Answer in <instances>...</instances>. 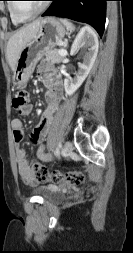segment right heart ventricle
Masks as SVG:
<instances>
[{
  "label": "right heart ventricle",
  "mask_w": 133,
  "mask_h": 253,
  "mask_svg": "<svg viewBox=\"0 0 133 253\" xmlns=\"http://www.w3.org/2000/svg\"><path fill=\"white\" fill-rule=\"evenodd\" d=\"M7 10L9 12V16H10V19H11V22L14 24V25H19L21 22H18L12 15L11 11H10V7H9V3L7 4Z\"/></svg>",
  "instance_id": "right-heart-ventricle-1"
}]
</instances>
